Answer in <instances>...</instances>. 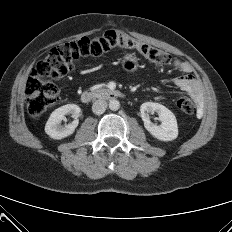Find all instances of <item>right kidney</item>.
Here are the masks:
<instances>
[{
	"mask_svg": "<svg viewBox=\"0 0 232 232\" xmlns=\"http://www.w3.org/2000/svg\"><path fill=\"white\" fill-rule=\"evenodd\" d=\"M80 112V107L75 104H67L57 108L51 113L45 125L46 134L57 140L73 134L79 123ZM65 115H71L75 120L68 125L62 126L61 122L65 120Z\"/></svg>",
	"mask_w": 232,
	"mask_h": 232,
	"instance_id": "right-kidney-1",
	"label": "right kidney"
}]
</instances>
